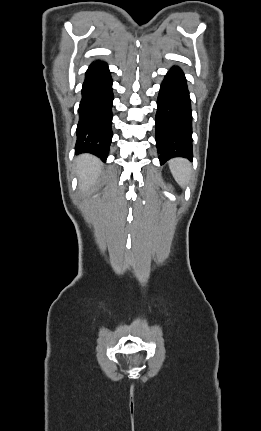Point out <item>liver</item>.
I'll return each instance as SVG.
<instances>
[{"instance_id":"liver-1","label":"liver","mask_w":261,"mask_h":431,"mask_svg":"<svg viewBox=\"0 0 261 431\" xmlns=\"http://www.w3.org/2000/svg\"><path fill=\"white\" fill-rule=\"evenodd\" d=\"M80 187L89 191L95 187L101 174V163L92 155H82L77 160Z\"/></svg>"}]
</instances>
